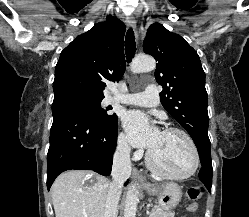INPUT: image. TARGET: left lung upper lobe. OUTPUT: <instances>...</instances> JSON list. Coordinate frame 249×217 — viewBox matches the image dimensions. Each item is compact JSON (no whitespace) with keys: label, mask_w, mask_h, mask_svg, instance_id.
I'll use <instances>...</instances> for the list:
<instances>
[{"label":"left lung upper lobe","mask_w":249,"mask_h":217,"mask_svg":"<svg viewBox=\"0 0 249 217\" xmlns=\"http://www.w3.org/2000/svg\"><path fill=\"white\" fill-rule=\"evenodd\" d=\"M144 52L158 61L155 78L163 87L160 93L163 107L190 134L201 164L211 162L208 96L197 52L180 35L168 31L160 23L148 28Z\"/></svg>","instance_id":"obj_1"}]
</instances>
